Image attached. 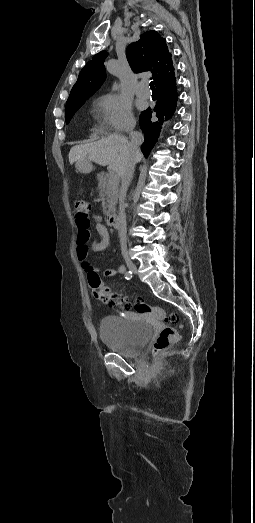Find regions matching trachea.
I'll use <instances>...</instances> for the list:
<instances>
[{"mask_svg": "<svg viewBox=\"0 0 255 523\" xmlns=\"http://www.w3.org/2000/svg\"><path fill=\"white\" fill-rule=\"evenodd\" d=\"M150 88H151L152 91H155L154 82H150Z\"/></svg>", "mask_w": 255, "mask_h": 523, "instance_id": "3493384b", "label": "trachea"}]
</instances>
